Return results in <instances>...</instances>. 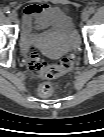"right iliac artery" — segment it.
<instances>
[{"label":"right iliac artery","mask_w":104,"mask_h":137,"mask_svg":"<svg viewBox=\"0 0 104 137\" xmlns=\"http://www.w3.org/2000/svg\"><path fill=\"white\" fill-rule=\"evenodd\" d=\"M4 12L7 13V14L10 13V8L9 7H5L4 8Z\"/></svg>","instance_id":"82829eb1"}]
</instances>
